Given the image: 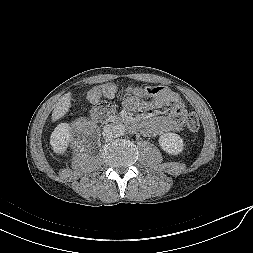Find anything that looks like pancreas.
<instances>
[{
    "label": "pancreas",
    "instance_id": "pancreas-1",
    "mask_svg": "<svg viewBox=\"0 0 253 253\" xmlns=\"http://www.w3.org/2000/svg\"><path fill=\"white\" fill-rule=\"evenodd\" d=\"M117 117L115 115L109 116L108 121H114Z\"/></svg>",
    "mask_w": 253,
    "mask_h": 253
}]
</instances>
